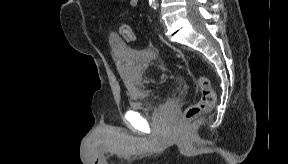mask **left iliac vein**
<instances>
[{"instance_id":"obj_1","label":"left iliac vein","mask_w":288,"mask_h":164,"mask_svg":"<svg viewBox=\"0 0 288 164\" xmlns=\"http://www.w3.org/2000/svg\"><path fill=\"white\" fill-rule=\"evenodd\" d=\"M160 22H161V23H164V21H163L162 19H160Z\"/></svg>"}]
</instances>
